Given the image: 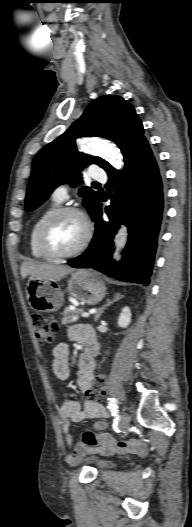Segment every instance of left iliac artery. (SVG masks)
Here are the masks:
<instances>
[{"label":"left iliac artery","mask_w":192,"mask_h":527,"mask_svg":"<svg viewBox=\"0 0 192 527\" xmlns=\"http://www.w3.org/2000/svg\"><path fill=\"white\" fill-rule=\"evenodd\" d=\"M108 408L113 416L119 412L118 401L116 398H109Z\"/></svg>","instance_id":"obj_1"}]
</instances>
